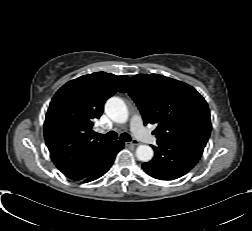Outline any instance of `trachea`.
<instances>
[{
    "mask_svg": "<svg viewBox=\"0 0 252 231\" xmlns=\"http://www.w3.org/2000/svg\"><path fill=\"white\" fill-rule=\"evenodd\" d=\"M99 137H100V138L109 139V140H115V139L118 138V134H117L115 131H110V132H108V133L105 134V135L99 134ZM120 139L123 140V141H126V142L131 141V137H130V135L127 134V133H122V134L120 135Z\"/></svg>",
    "mask_w": 252,
    "mask_h": 231,
    "instance_id": "obj_1",
    "label": "trachea"
}]
</instances>
